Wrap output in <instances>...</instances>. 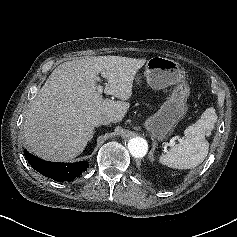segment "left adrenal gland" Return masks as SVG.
Instances as JSON below:
<instances>
[{
    "label": "left adrenal gland",
    "instance_id": "obj_1",
    "mask_svg": "<svg viewBox=\"0 0 237 237\" xmlns=\"http://www.w3.org/2000/svg\"><path fill=\"white\" fill-rule=\"evenodd\" d=\"M155 147H156V142L153 141V147H152V149H151V151H150V153H149V159H150L151 161L154 160L153 154H154Z\"/></svg>",
    "mask_w": 237,
    "mask_h": 237
}]
</instances>
